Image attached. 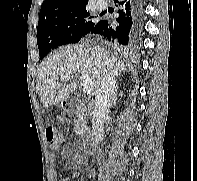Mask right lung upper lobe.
<instances>
[{"mask_svg": "<svg viewBox=\"0 0 197 181\" xmlns=\"http://www.w3.org/2000/svg\"><path fill=\"white\" fill-rule=\"evenodd\" d=\"M88 0H45L41 6L39 20L86 7Z\"/></svg>", "mask_w": 197, "mask_h": 181, "instance_id": "1", "label": "right lung upper lobe"}]
</instances>
